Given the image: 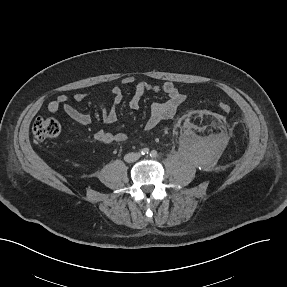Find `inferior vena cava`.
<instances>
[{"label":"inferior vena cava","mask_w":287,"mask_h":287,"mask_svg":"<svg viewBox=\"0 0 287 287\" xmlns=\"http://www.w3.org/2000/svg\"><path fill=\"white\" fill-rule=\"evenodd\" d=\"M140 158L139 153H128L124 156V160L128 163L135 162Z\"/></svg>","instance_id":"obj_1"}]
</instances>
